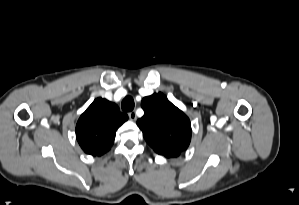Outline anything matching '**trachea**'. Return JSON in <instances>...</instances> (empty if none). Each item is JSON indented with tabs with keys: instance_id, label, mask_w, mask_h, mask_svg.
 Here are the masks:
<instances>
[{
	"instance_id": "1",
	"label": "trachea",
	"mask_w": 299,
	"mask_h": 205,
	"mask_svg": "<svg viewBox=\"0 0 299 205\" xmlns=\"http://www.w3.org/2000/svg\"><path fill=\"white\" fill-rule=\"evenodd\" d=\"M134 100L132 97L127 96L122 101V110L125 112L132 111L134 109Z\"/></svg>"
}]
</instances>
